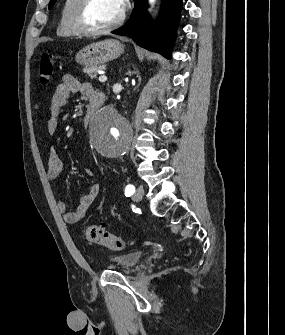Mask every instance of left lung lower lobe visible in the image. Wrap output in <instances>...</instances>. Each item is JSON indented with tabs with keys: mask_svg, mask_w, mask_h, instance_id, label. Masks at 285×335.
Masks as SVG:
<instances>
[{
	"mask_svg": "<svg viewBox=\"0 0 285 335\" xmlns=\"http://www.w3.org/2000/svg\"><path fill=\"white\" fill-rule=\"evenodd\" d=\"M146 8V0H134V10L129 20L113 33L129 36L138 45L170 59L182 0H163L160 16L155 25L151 23Z\"/></svg>",
	"mask_w": 285,
	"mask_h": 335,
	"instance_id": "1",
	"label": "left lung lower lobe"
}]
</instances>
